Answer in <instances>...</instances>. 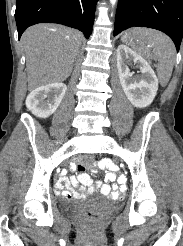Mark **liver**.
<instances>
[{"label": "liver", "instance_id": "1", "mask_svg": "<svg viewBox=\"0 0 183 246\" xmlns=\"http://www.w3.org/2000/svg\"><path fill=\"white\" fill-rule=\"evenodd\" d=\"M21 42L26 54L28 90L66 80L82 43V34L71 28L39 24L28 28Z\"/></svg>", "mask_w": 183, "mask_h": 246}]
</instances>
